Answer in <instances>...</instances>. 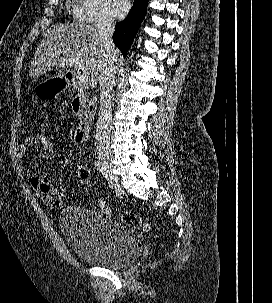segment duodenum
Wrapping results in <instances>:
<instances>
[{"label": "duodenum", "mask_w": 272, "mask_h": 303, "mask_svg": "<svg viewBox=\"0 0 272 303\" xmlns=\"http://www.w3.org/2000/svg\"><path fill=\"white\" fill-rule=\"evenodd\" d=\"M65 81L67 85L74 87L77 91L72 100V109L79 118L74 131V140L82 143L88 137L89 125L95 116L96 102L92 100L86 106L83 105V89L73 74H67Z\"/></svg>", "instance_id": "410a0bca"}]
</instances>
